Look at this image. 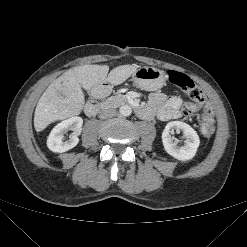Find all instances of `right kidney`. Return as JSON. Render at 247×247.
<instances>
[{
  "label": "right kidney",
  "mask_w": 247,
  "mask_h": 247,
  "mask_svg": "<svg viewBox=\"0 0 247 247\" xmlns=\"http://www.w3.org/2000/svg\"><path fill=\"white\" fill-rule=\"evenodd\" d=\"M82 125L83 119L78 116L60 122L51 131L47 139V147L51 151L58 153H63L74 148L79 142L78 136L82 132ZM68 130H72L73 134L68 140L64 141V134Z\"/></svg>",
  "instance_id": "right-kidney-1"
}]
</instances>
